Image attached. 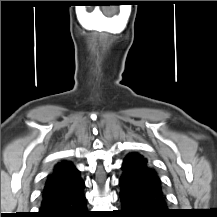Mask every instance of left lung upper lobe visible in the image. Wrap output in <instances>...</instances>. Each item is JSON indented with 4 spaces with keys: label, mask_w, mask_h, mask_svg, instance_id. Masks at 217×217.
<instances>
[{
    "label": "left lung upper lobe",
    "mask_w": 217,
    "mask_h": 217,
    "mask_svg": "<svg viewBox=\"0 0 217 217\" xmlns=\"http://www.w3.org/2000/svg\"><path fill=\"white\" fill-rule=\"evenodd\" d=\"M122 164L131 167L129 173L136 180L161 187V181L156 171L148 165L147 159L143 156L136 153H130Z\"/></svg>",
    "instance_id": "obj_1"
}]
</instances>
